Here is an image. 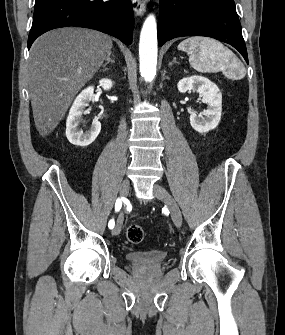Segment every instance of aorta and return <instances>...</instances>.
Instances as JSON below:
<instances>
[{
    "label": "aorta",
    "mask_w": 285,
    "mask_h": 335,
    "mask_svg": "<svg viewBox=\"0 0 285 335\" xmlns=\"http://www.w3.org/2000/svg\"><path fill=\"white\" fill-rule=\"evenodd\" d=\"M140 74L145 82H152L156 76L157 66V28L154 16L146 18L141 30L140 44Z\"/></svg>",
    "instance_id": "762f6f07"
}]
</instances>
